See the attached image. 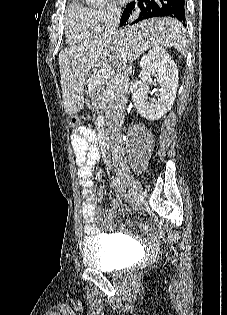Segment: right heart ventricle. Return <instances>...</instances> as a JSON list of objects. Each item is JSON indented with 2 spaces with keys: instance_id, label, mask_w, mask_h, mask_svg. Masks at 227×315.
<instances>
[{
  "instance_id": "1",
  "label": "right heart ventricle",
  "mask_w": 227,
  "mask_h": 315,
  "mask_svg": "<svg viewBox=\"0 0 227 315\" xmlns=\"http://www.w3.org/2000/svg\"><path fill=\"white\" fill-rule=\"evenodd\" d=\"M64 24L66 39L71 45L82 43L101 30L95 9L84 4L82 0H69L64 13Z\"/></svg>"
}]
</instances>
